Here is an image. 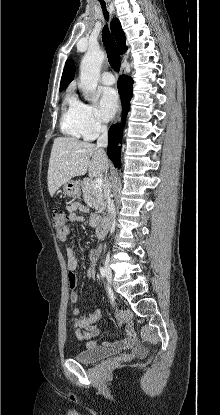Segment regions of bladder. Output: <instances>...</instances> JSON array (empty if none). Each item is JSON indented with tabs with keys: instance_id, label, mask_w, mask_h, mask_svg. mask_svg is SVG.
Listing matches in <instances>:
<instances>
[{
	"instance_id": "31cf9c89",
	"label": "bladder",
	"mask_w": 220,
	"mask_h": 415,
	"mask_svg": "<svg viewBox=\"0 0 220 415\" xmlns=\"http://www.w3.org/2000/svg\"><path fill=\"white\" fill-rule=\"evenodd\" d=\"M114 352L102 347H87L80 350L75 359L82 363H92L114 356Z\"/></svg>"
}]
</instances>
